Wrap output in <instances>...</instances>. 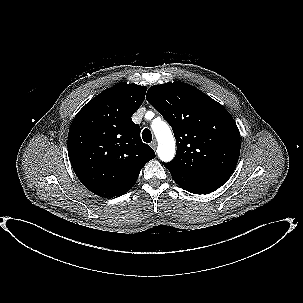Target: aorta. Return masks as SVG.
<instances>
[{"instance_id":"1","label":"aorta","mask_w":303,"mask_h":303,"mask_svg":"<svg viewBox=\"0 0 303 303\" xmlns=\"http://www.w3.org/2000/svg\"><path fill=\"white\" fill-rule=\"evenodd\" d=\"M155 137L158 141L157 153L163 162H169L175 155V139L173 134L164 121H155L151 125Z\"/></svg>"}]
</instances>
